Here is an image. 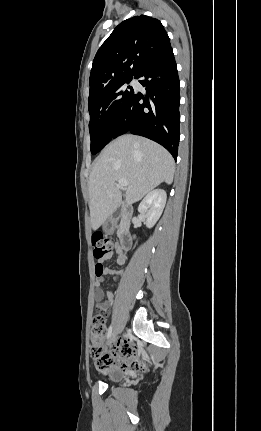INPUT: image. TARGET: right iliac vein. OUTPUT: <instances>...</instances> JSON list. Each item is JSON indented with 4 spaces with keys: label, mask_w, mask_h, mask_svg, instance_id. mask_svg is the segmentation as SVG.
<instances>
[{
    "label": "right iliac vein",
    "mask_w": 261,
    "mask_h": 431,
    "mask_svg": "<svg viewBox=\"0 0 261 431\" xmlns=\"http://www.w3.org/2000/svg\"><path fill=\"white\" fill-rule=\"evenodd\" d=\"M115 339H116V333L113 332L112 335H111V339H110L109 344L111 345L115 341Z\"/></svg>",
    "instance_id": "right-iliac-vein-1"
}]
</instances>
